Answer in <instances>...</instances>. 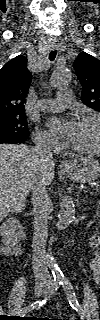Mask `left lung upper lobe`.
<instances>
[{
  "label": "left lung upper lobe",
  "mask_w": 100,
  "mask_h": 320,
  "mask_svg": "<svg viewBox=\"0 0 100 320\" xmlns=\"http://www.w3.org/2000/svg\"><path fill=\"white\" fill-rule=\"evenodd\" d=\"M73 66L83 86L82 102L100 112V61L81 52Z\"/></svg>",
  "instance_id": "left-lung-upper-lobe-1"
}]
</instances>
